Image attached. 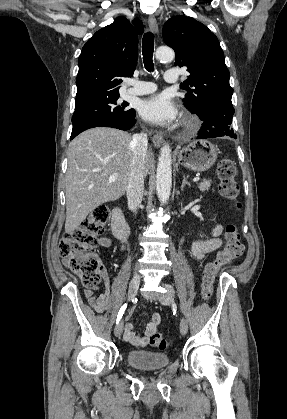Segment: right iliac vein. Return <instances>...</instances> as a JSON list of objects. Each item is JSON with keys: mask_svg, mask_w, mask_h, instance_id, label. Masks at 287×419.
<instances>
[{"mask_svg": "<svg viewBox=\"0 0 287 419\" xmlns=\"http://www.w3.org/2000/svg\"><path fill=\"white\" fill-rule=\"evenodd\" d=\"M140 285V278L133 277L129 283L128 297L133 299L138 291ZM123 332V320H120L115 326L114 333L115 336L119 337Z\"/></svg>", "mask_w": 287, "mask_h": 419, "instance_id": "63e3f726", "label": "right iliac vein"}]
</instances>
